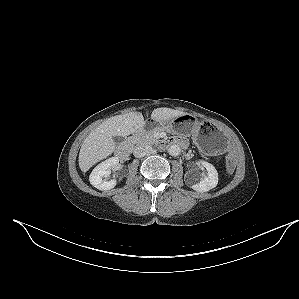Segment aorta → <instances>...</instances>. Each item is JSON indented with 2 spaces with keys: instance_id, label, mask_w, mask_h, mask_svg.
Returning <instances> with one entry per match:
<instances>
[{
  "instance_id": "aorta-1",
  "label": "aorta",
  "mask_w": 299,
  "mask_h": 299,
  "mask_svg": "<svg viewBox=\"0 0 299 299\" xmlns=\"http://www.w3.org/2000/svg\"><path fill=\"white\" fill-rule=\"evenodd\" d=\"M181 152V149L178 145L173 144L168 148V153L171 156H178Z\"/></svg>"
}]
</instances>
